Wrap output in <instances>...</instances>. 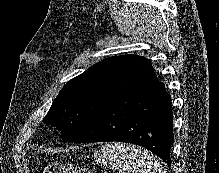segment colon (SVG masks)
<instances>
[{
  "label": "colon",
  "instance_id": "1",
  "mask_svg": "<svg viewBox=\"0 0 219 173\" xmlns=\"http://www.w3.org/2000/svg\"><path fill=\"white\" fill-rule=\"evenodd\" d=\"M41 173H91L86 167L75 166L60 160L48 161Z\"/></svg>",
  "mask_w": 219,
  "mask_h": 173
}]
</instances>
